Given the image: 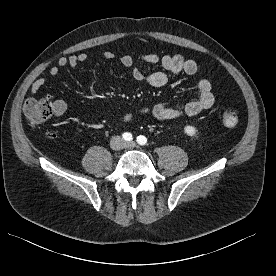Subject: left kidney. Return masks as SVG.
Returning a JSON list of instances; mask_svg holds the SVG:
<instances>
[{"label":"left kidney","mask_w":276,"mask_h":276,"mask_svg":"<svg viewBox=\"0 0 276 276\" xmlns=\"http://www.w3.org/2000/svg\"><path fill=\"white\" fill-rule=\"evenodd\" d=\"M198 130L194 126L187 125L184 127V133L191 137H197Z\"/></svg>","instance_id":"obj_1"}]
</instances>
